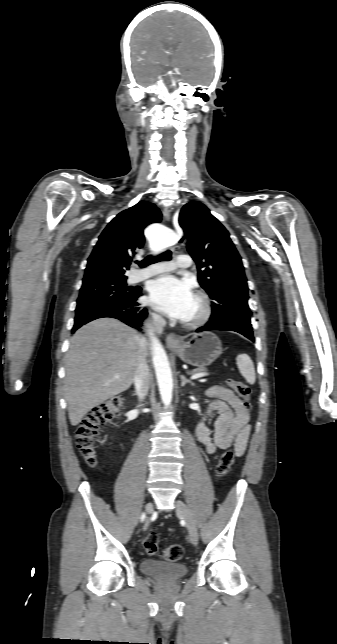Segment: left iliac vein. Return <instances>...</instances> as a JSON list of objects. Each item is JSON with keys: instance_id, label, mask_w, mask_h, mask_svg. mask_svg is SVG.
<instances>
[{"instance_id": "1", "label": "left iliac vein", "mask_w": 337, "mask_h": 644, "mask_svg": "<svg viewBox=\"0 0 337 644\" xmlns=\"http://www.w3.org/2000/svg\"><path fill=\"white\" fill-rule=\"evenodd\" d=\"M176 512L186 522L190 542L196 545L198 542V531L189 508L181 500H176Z\"/></svg>"}]
</instances>
